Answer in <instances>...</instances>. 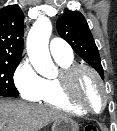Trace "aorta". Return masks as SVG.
<instances>
[{"label":"aorta","instance_id":"762f6f07","mask_svg":"<svg viewBox=\"0 0 117 131\" xmlns=\"http://www.w3.org/2000/svg\"><path fill=\"white\" fill-rule=\"evenodd\" d=\"M52 24L47 17L38 18L27 37V53L34 69L44 77L53 75L55 66L49 53Z\"/></svg>","mask_w":117,"mask_h":131}]
</instances>
